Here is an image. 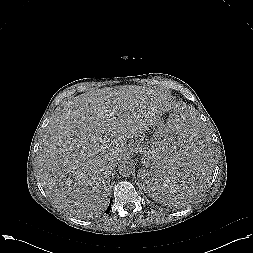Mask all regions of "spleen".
I'll return each mask as SVG.
<instances>
[{
	"instance_id": "obj_1",
	"label": "spleen",
	"mask_w": 253,
	"mask_h": 253,
	"mask_svg": "<svg viewBox=\"0 0 253 253\" xmlns=\"http://www.w3.org/2000/svg\"><path fill=\"white\" fill-rule=\"evenodd\" d=\"M210 165L206 121L199 112L183 109L171 117L168 132L154 141L140 172V187L157 202L178 204L205 185Z\"/></svg>"
}]
</instances>
